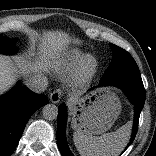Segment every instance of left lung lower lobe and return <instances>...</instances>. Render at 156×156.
I'll return each mask as SVG.
<instances>
[{"label": "left lung lower lobe", "mask_w": 156, "mask_h": 156, "mask_svg": "<svg viewBox=\"0 0 156 156\" xmlns=\"http://www.w3.org/2000/svg\"><path fill=\"white\" fill-rule=\"evenodd\" d=\"M100 82L103 85H115L122 88L128 95L131 102L135 105L136 110L134 118L133 135L130 142L132 143L133 139L135 138V134L137 132L139 116L145 102V90L143 87L142 80L140 78L138 79L112 78V79H101ZM65 127H66V109L64 105H61L59 107L58 124H57L58 146L62 156H73L66 143Z\"/></svg>", "instance_id": "0a47b994"}]
</instances>
